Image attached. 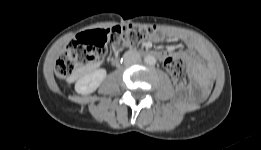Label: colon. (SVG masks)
Wrapping results in <instances>:
<instances>
[{
  "label": "colon",
  "mask_w": 261,
  "mask_h": 150,
  "mask_svg": "<svg viewBox=\"0 0 261 150\" xmlns=\"http://www.w3.org/2000/svg\"><path fill=\"white\" fill-rule=\"evenodd\" d=\"M155 33L152 26L122 25L109 29H97L77 36L61 53L55 65V74L61 80H68L76 70L96 64L105 55L110 41L121 48H133ZM167 70L179 87L189 83L188 65L184 59H170Z\"/></svg>",
  "instance_id": "colon-1"
}]
</instances>
